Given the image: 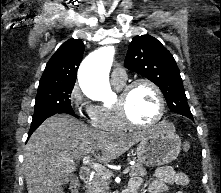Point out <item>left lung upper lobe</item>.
Instances as JSON below:
<instances>
[{
  "instance_id": "left-lung-upper-lobe-1",
  "label": "left lung upper lobe",
  "mask_w": 221,
  "mask_h": 193,
  "mask_svg": "<svg viewBox=\"0 0 221 193\" xmlns=\"http://www.w3.org/2000/svg\"><path fill=\"white\" fill-rule=\"evenodd\" d=\"M124 64L127 69L155 83L172 112L192 116L178 66L160 41L150 35L134 37Z\"/></svg>"
}]
</instances>
